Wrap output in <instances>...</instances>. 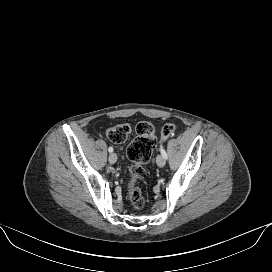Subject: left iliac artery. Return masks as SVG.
<instances>
[{
  "label": "left iliac artery",
  "mask_w": 272,
  "mask_h": 272,
  "mask_svg": "<svg viewBox=\"0 0 272 272\" xmlns=\"http://www.w3.org/2000/svg\"><path fill=\"white\" fill-rule=\"evenodd\" d=\"M160 152H161V154L163 155V157H165V159H167L166 151H165V149L163 148L162 145L160 146Z\"/></svg>",
  "instance_id": "left-iliac-artery-1"
}]
</instances>
